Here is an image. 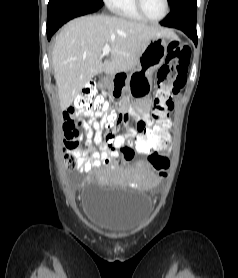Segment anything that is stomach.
<instances>
[{
    "instance_id": "0dacf381",
    "label": "stomach",
    "mask_w": 238,
    "mask_h": 278,
    "mask_svg": "<svg viewBox=\"0 0 238 278\" xmlns=\"http://www.w3.org/2000/svg\"><path fill=\"white\" fill-rule=\"evenodd\" d=\"M166 38L151 39L134 69H118L117 74L103 78L102 85L112 93V99H127L129 94L140 97L151 93L153 72L164 63L167 55Z\"/></svg>"
}]
</instances>
